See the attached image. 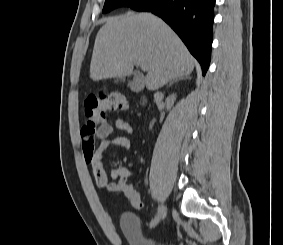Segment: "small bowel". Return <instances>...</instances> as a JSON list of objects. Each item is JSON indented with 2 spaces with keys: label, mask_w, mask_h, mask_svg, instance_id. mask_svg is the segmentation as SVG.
Returning a JSON list of instances; mask_svg holds the SVG:
<instances>
[{
  "label": "small bowel",
  "mask_w": 283,
  "mask_h": 245,
  "mask_svg": "<svg viewBox=\"0 0 283 245\" xmlns=\"http://www.w3.org/2000/svg\"><path fill=\"white\" fill-rule=\"evenodd\" d=\"M115 128L125 135L113 137L114 127L105 121L101 124L86 122L80 132L83 156L91 167L96 187L111 192H119V178L127 179L133 175V170L130 168L116 167L111 170V182H109L104 170L102 163L104 154L114 146L128 149L134 136L132 126L122 118L116 119Z\"/></svg>",
  "instance_id": "small-bowel-1"
}]
</instances>
